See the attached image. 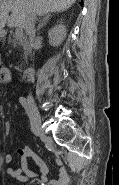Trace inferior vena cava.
I'll return each mask as SVG.
<instances>
[{
  "label": "inferior vena cava",
  "instance_id": "1",
  "mask_svg": "<svg viewBox=\"0 0 119 185\" xmlns=\"http://www.w3.org/2000/svg\"><path fill=\"white\" fill-rule=\"evenodd\" d=\"M25 29L29 37L30 46L33 47L36 30H35V15L31 11H28L26 15Z\"/></svg>",
  "mask_w": 119,
  "mask_h": 185
}]
</instances>
